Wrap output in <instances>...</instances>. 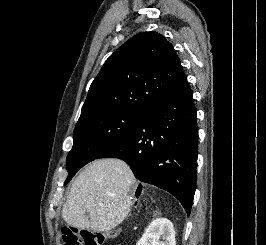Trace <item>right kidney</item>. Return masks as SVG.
<instances>
[{
  "label": "right kidney",
  "instance_id": "ca27d5eb",
  "mask_svg": "<svg viewBox=\"0 0 266 245\" xmlns=\"http://www.w3.org/2000/svg\"><path fill=\"white\" fill-rule=\"evenodd\" d=\"M136 245H176L173 223L162 217L155 219L145 229V233Z\"/></svg>",
  "mask_w": 266,
  "mask_h": 245
}]
</instances>
